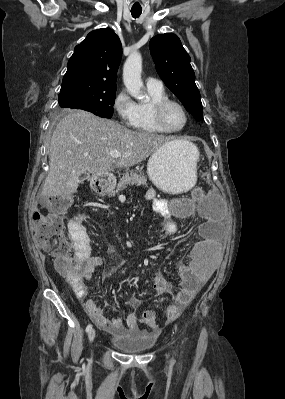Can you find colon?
<instances>
[{"instance_id": "1", "label": "colon", "mask_w": 285, "mask_h": 399, "mask_svg": "<svg viewBox=\"0 0 285 399\" xmlns=\"http://www.w3.org/2000/svg\"><path fill=\"white\" fill-rule=\"evenodd\" d=\"M191 197L199 200L205 197V192L201 187H194L191 190ZM69 200H60L57 204L59 209L71 207ZM80 240L78 252L82 257H88L90 254V245L86 237L84 225H80ZM30 232L34 237L39 249L56 260L59 271L74 279L79 277V270L74 265V255L71 253L68 244L65 241V224L62 218L56 214H44L36 212L30 220ZM180 314V309L175 305L168 306L166 310L167 318L175 319ZM141 321L146 327H158L156 313L152 310H146L141 316Z\"/></svg>"}]
</instances>
